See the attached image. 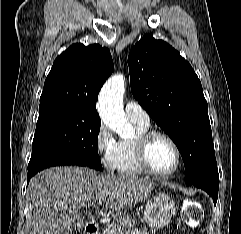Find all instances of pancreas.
Wrapping results in <instances>:
<instances>
[{
	"label": "pancreas",
	"mask_w": 241,
	"mask_h": 234,
	"mask_svg": "<svg viewBox=\"0 0 241 234\" xmlns=\"http://www.w3.org/2000/svg\"><path fill=\"white\" fill-rule=\"evenodd\" d=\"M102 234H132L127 232L123 227L118 224H109L103 231ZM140 234H149L146 231H142Z\"/></svg>",
	"instance_id": "obj_1"
}]
</instances>
